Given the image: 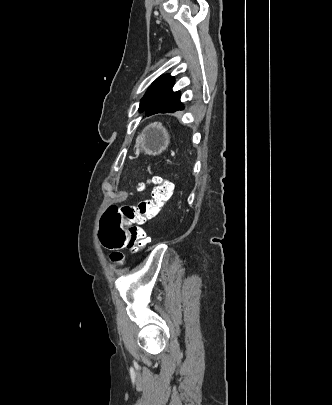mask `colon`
I'll use <instances>...</instances> for the list:
<instances>
[{
    "instance_id": "1",
    "label": "colon",
    "mask_w": 332,
    "mask_h": 405,
    "mask_svg": "<svg viewBox=\"0 0 332 405\" xmlns=\"http://www.w3.org/2000/svg\"><path fill=\"white\" fill-rule=\"evenodd\" d=\"M152 198L143 200L136 206L117 207L115 202L108 204L100 220V234L97 242L101 249H108L110 254H117L119 249H128L133 253L141 252L148 244L143 225L159 213L162 205L173 193V183L160 176L152 178ZM144 184L140 185L143 188ZM125 223V227L124 223ZM122 256L115 255L113 260L121 262Z\"/></svg>"
}]
</instances>
